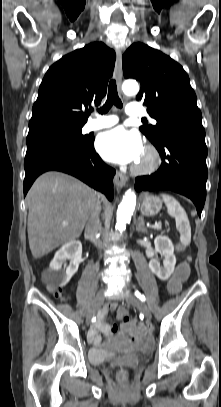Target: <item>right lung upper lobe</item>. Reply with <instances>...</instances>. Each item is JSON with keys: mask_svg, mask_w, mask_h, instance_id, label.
I'll use <instances>...</instances> for the list:
<instances>
[{"mask_svg": "<svg viewBox=\"0 0 221 407\" xmlns=\"http://www.w3.org/2000/svg\"><path fill=\"white\" fill-rule=\"evenodd\" d=\"M115 52L101 42L65 55L53 64L39 87L29 128L55 124H85L87 108L99 104L113 74Z\"/></svg>", "mask_w": 221, "mask_h": 407, "instance_id": "obj_1", "label": "right lung upper lobe"}]
</instances>
